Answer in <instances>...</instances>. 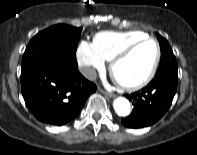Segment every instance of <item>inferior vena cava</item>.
Returning <instances> with one entry per match:
<instances>
[{"label": "inferior vena cava", "mask_w": 197, "mask_h": 155, "mask_svg": "<svg viewBox=\"0 0 197 155\" xmlns=\"http://www.w3.org/2000/svg\"><path fill=\"white\" fill-rule=\"evenodd\" d=\"M80 73L87 79L89 80H94L96 79V70L92 67H88V66H84L81 67L80 69Z\"/></svg>", "instance_id": "1"}]
</instances>
